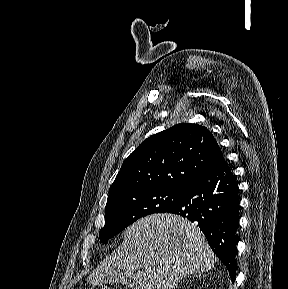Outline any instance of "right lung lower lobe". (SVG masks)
Instances as JSON below:
<instances>
[{"mask_svg": "<svg viewBox=\"0 0 288 289\" xmlns=\"http://www.w3.org/2000/svg\"><path fill=\"white\" fill-rule=\"evenodd\" d=\"M239 189L233 173L223 158L196 177L180 201L167 212L198 223L216 256L225 264L233 281L238 242Z\"/></svg>", "mask_w": 288, "mask_h": 289, "instance_id": "right-lung-lower-lobe-1", "label": "right lung lower lobe"}]
</instances>
